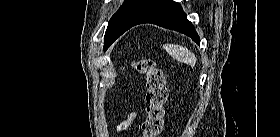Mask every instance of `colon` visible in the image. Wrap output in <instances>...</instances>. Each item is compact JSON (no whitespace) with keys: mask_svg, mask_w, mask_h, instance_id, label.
Segmentation results:
<instances>
[{"mask_svg":"<svg viewBox=\"0 0 280 137\" xmlns=\"http://www.w3.org/2000/svg\"><path fill=\"white\" fill-rule=\"evenodd\" d=\"M132 66L146 79L147 106L146 118L142 127L143 137H158L162 130L164 105L167 98L164 74L150 58L134 59ZM128 127V125L120 123L117 131L122 132Z\"/></svg>","mask_w":280,"mask_h":137,"instance_id":"obj_1","label":"colon"}]
</instances>
